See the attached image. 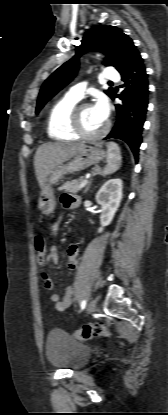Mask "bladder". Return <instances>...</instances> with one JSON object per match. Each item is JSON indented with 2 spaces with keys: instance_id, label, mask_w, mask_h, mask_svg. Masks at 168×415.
I'll return each instance as SVG.
<instances>
[{
  "instance_id": "obj_1",
  "label": "bladder",
  "mask_w": 168,
  "mask_h": 415,
  "mask_svg": "<svg viewBox=\"0 0 168 415\" xmlns=\"http://www.w3.org/2000/svg\"><path fill=\"white\" fill-rule=\"evenodd\" d=\"M45 354L48 362L56 368L78 370L90 359L91 349L64 330L53 329L46 339Z\"/></svg>"
}]
</instances>
